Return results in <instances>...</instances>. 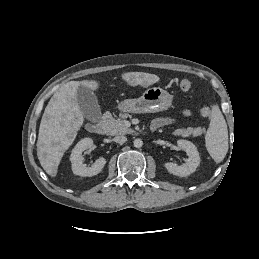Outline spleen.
I'll return each instance as SVG.
<instances>
[{
  "mask_svg": "<svg viewBox=\"0 0 259 259\" xmlns=\"http://www.w3.org/2000/svg\"><path fill=\"white\" fill-rule=\"evenodd\" d=\"M205 145L216 163H220L228 151L227 124L217 105L212 107L211 120L205 135Z\"/></svg>",
  "mask_w": 259,
  "mask_h": 259,
  "instance_id": "spleen-1",
  "label": "spleen"
}]
</instances>
